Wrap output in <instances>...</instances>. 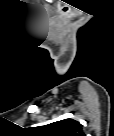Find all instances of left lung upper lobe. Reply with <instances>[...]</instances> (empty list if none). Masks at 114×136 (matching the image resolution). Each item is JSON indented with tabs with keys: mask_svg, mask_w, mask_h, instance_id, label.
I'll use <instances>...</instances> for the list:
<instances>
[{
	"mask_svg": "<svg viewBox=\"0 0 114 136\" xmlns=\"http://www.w3.org/2000/svg\"><path fill=\"white\" fill-rule=\"evenodd\" d=\"M39 136H83L82 125L73 119H64L35 128Z\"/></svg>",
	"mask_w": 114,
	"mask_h": 136,
	"instance_id": "left-lung-upper-lobe-1",
	"label": "left lung upper lobe"
}]
</instances>
